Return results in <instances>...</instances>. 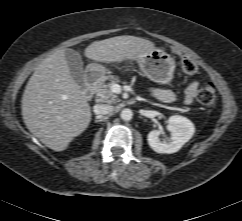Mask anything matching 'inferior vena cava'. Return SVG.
<instances>
[{"instance_id":"602c4592","label":"inferior vena cava","mask_w":242,"mask_h":221,"mask_svg":"<svg viewBox=\"0 0 242 221\" xmlns=\"http://www.w3.org/2000/svg\"><path fill=\"white\" fill-rule=\"evenodd\" d=\"M114 111V107L108 104H96L94 106V112L96 114L107 115Z\"/></svg>"}]
</instances>
